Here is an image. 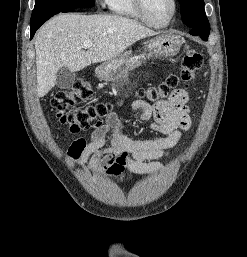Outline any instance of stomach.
Returning <instances> with one entry per match:
<instances>
[{"instance_id": "0dacf381", "label": "stomach", "mask_w": 247, "mask_h": 257, "mask_svg": "<svg viewBox=\"0 0 247 257\" xmlns=\"http://www.w3.org/2000/svg\"><path fill=\"white\" fill-rule=\"evenodd\" d=\"M145 51L148 53L136 54L132 51L121 53L119 56L104 62L97 67L96 76L104 81H116L129 71L139 67L152 54L161 56H173L179 52L182 41L175 35H162L145 43Z\"/></svg>"}]
</instances>
